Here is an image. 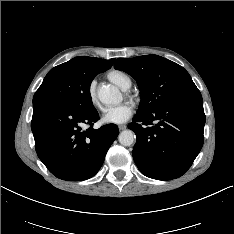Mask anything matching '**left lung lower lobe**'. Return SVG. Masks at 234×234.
I'll use <instances>...</instances> for the list:
<instances>
[{"label": "left lung lower lobe", "mask_w": 234, "mask_h": 234, "mask_svg": "<svg viewBox=\"0 0 234 234\" xmlns=\"http://www.w3.org/2000/svg\"><path fill=\"white\" fill-rule=\"evenodd\" d=\"M205 120L198 89L171 99L149 114L134 116L128 128L136 134L133 158L141 173L159 180L182 176L203 146Z\"/></svg>", "instance_id": "obj_1"}]
</instances>
